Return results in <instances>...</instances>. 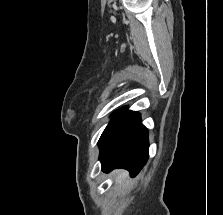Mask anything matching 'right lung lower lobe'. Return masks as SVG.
I'll use <instances>...</instances> for the list:
<instances>
[{"label": "right lung lower lobe", "mask_w": 223, "mask_h": 215, "mask_svg": "<svg viewBox=\"0 0 223 215\" xmlns=\"http://www.w3.org/2000/svg\"><path fill=\"white\" fill-rule=\"evenodd\" d=\"M102 170L124 168L134 177L148 160V130L140 114L131 112L99 146Z\"/></svg>", "instance_id": "right-lung-lower-lobe-1"}]
</instances>
